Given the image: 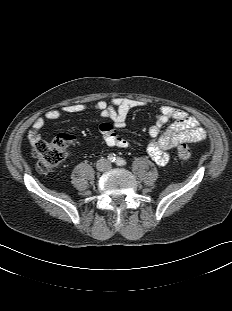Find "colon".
<instances>
[{
    "mask_svg": "<svg viewBox=\"0 0 232 311\" xmlns=\"http://www.w3.org/2000/svg\"><path fill=\"white\" fill-rule=\"evenodd\" d=\"M69 139L66 135H59L52 140H40L34 145L33 155L37 159L39 171L52 170L65 159ZM177 156L182 161H188L191 158L190 148L186 144H180L177 148Z\"/></svg>",
    "mask_w": 232,
    "mask_h": 311,
    "instance_id": "colon-1",
    "label": "colon"
}]
</instances>
